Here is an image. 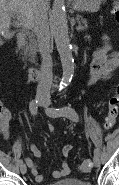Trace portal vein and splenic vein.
Wrapping results in <instances>:
<instances>
[{
    "instance_id": "1",
    "label": "portal vein and splenic vein",
    "mask_w": 119,
    "mask_h": 185,
    "mask_svg": "<svg viewBox=\"0 0 119 185\" xmlns=\"http://www.w3.org/2000/svg\"><path fill=\"white\" fill-rule=\"evenodd\" d=\"M17 18H18V19H20V16H19V15H17ZM20 25H23V23H22V22H20Z\"/></svg>"
}]
</instances>
